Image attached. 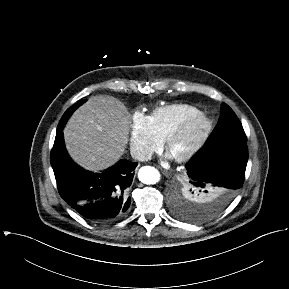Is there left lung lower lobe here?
Instances as JSON below:
<instances>
[{"label":"left lung lower lobe","instance_id":"left-lung-lower-lobe-1","mask_svg":"<svg viewBox=\"0 0 289 289\" xmlns=\"http://www.w3.org/2000/svg\"><path fill=\"white\" fill-rule=\"evenodd\" d=\"M246 142L202 148L187 163L183 182L213 195L212 210L222 212L244 182Z\"/></svg>","mask_w":289,"mask_h":289}]
</instances>
